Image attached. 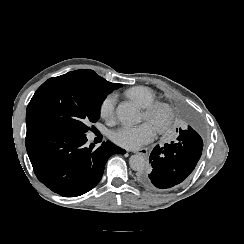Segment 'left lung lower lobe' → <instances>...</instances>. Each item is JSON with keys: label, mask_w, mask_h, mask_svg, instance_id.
<instances>
[{"label": "left lung lower lobe", "mask_w": 244, "mask_h": 244, "mask_svg": "<svg viewBox=\"0 0 244 244\" xmlns=\"http://www.w3.org/2000/svg\"><path fill=\"white\" fill-rule=\"evenodd\" d=\"M178 137L163 147L157 145L150 154L152 169L139 174V182L149 188H171L181 183L199 161L203 140L199 122L190 115L183 116L182 128L176 129Z\"/></svg>", "instance_id": "obj_1"}]
</instances>
